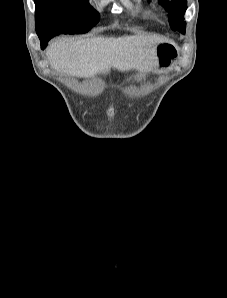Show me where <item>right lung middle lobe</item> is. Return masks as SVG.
Listing matches in <instances>:
<instances>
[{
  "label": "right lung middle lobe",
  "instance_id": "right-lung-middle-lobe-1",
  "mask_svg": "<svg viewBox=\"0 0 227 298\" xmlns=\"http://www.w3.org/2000/svg\"><path fill=\"white\" fill-rule=\"evenodd\" d=\"M36 33L82 34L99 21L88 0H35Z\"/></svg>",
  "mask_w": 227,
  "mask_h": 298
}]
</instances>
